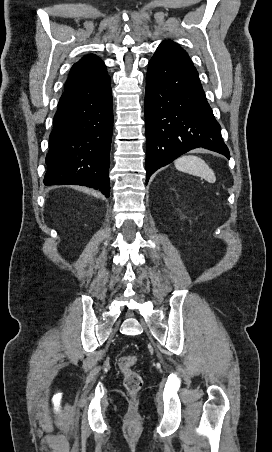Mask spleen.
Instances as JSON below:
<instances>
[{
	"label": "spleen",
	"instance_id": "spleen-1",
	"mask_svg": "<svg viewBox=\"0 0 272 452\" xmlns=\"http://www.w3.org/2000/svg\"><path fill=\"white\" fill-rule=\"evenodd\" d=\"M174 164L175 167L182 172L199 176L210 183L216 181L213 170L198 156H182L175 160Z\"/></svg>",
	"mask_w": 272,
	"mask_h": 452
}]
</instances>
